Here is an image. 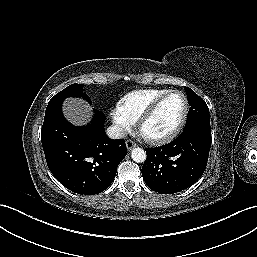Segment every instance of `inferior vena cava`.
I'll return each instance as SVG.
<instances>
[{"label": "inferior vena cava", "instance_id": "602c4592", "mask_svg": "<svg viewBox=\"0 0 257 257\" xmlns=\"http://www.w3.org/2000/svg\"><path fill=\"white\" fill-rule=\"evenodd\" d=\"M106 133L111 139H121L127 137V132L118 125L109 126Z\"/></svg>", "mask_w": 257, "mask_h": 257}]
</instances>
